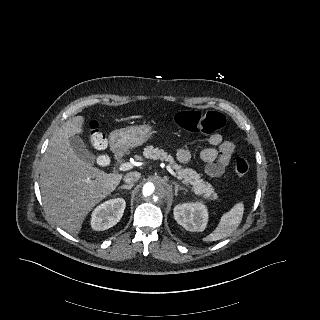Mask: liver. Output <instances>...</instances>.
Instances as JSON below:
<instances>
[{
	"label": "liver",
	"instance_id": "obj_1",
	"mask_svg": "<svg viewBox=\"0 0 320 320\" xmlns=\"http://www.w3.org/2000/svg\"><path fill=\"white\" fill-rule=\"evenodd\" d=\"M142 116H130L137 119ZM85 118L75 116L53 135L42 161L40 190L44 209L53 221L79 234L87 214L119 185L122 174H107L83 161L68 139L83 133Z\"/></svg>",
	"mask_w": 320,
	"mask_h": 320
}]
</instances>
